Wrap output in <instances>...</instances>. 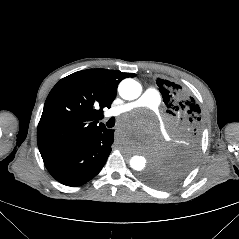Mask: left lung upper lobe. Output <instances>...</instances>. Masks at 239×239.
I'll return each mask as SVG.
<instances>
[{
  "label": "left lung upper lobe",
  "mask_w": 239,
  "mask_h": 239,
  "mask_svg": "<svg viewBox=\"0 0 239 239\" xmlns=\"http://www.w3.org/2000/svg\"><path fill=\"white\" fill-rule=\"evenodd\" d=\"M157 85L167 107L171 140L164 156L144 173L143 180L156 188H168L184 178L198 156L201 110L180 85L159 78Z\"/></svg>",
  "instance_id": "1"
}]
</instances>
